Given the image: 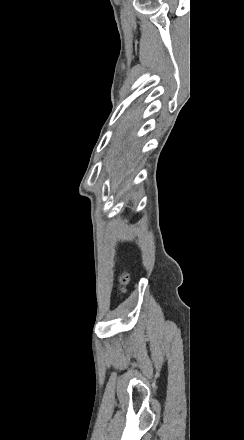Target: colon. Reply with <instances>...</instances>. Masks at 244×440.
<instances>
[{"label":"colon","instance_id":"5ec220e1","mask_svg":"<svg viewBox=\"0 0 244 440\" xmlns=\"http://www.w3.org/2000/svg\"><path fill=\"white\" fill-rule=\"evenodd\" d=\"M118 283L121 287L125 286L129 282V277L125 274H121L118 276Z\"/></svg>","mask_w":244,"mask_h":440}]
</instances>
